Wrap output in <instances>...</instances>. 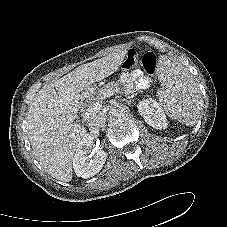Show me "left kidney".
Here are the masks:
<instances>
[{"instance_id":"5707ae66","label":"left kidney","mask_w":227,"mask_h":227,"mask_svg":"<svg viewBox=\"0 0 227 227\" xmlns=\"http://www.w3.org/2000/svg\"><path fill=\"white\" fill-rule=\"evenodd\" d=\"M140 115L155 129H166L167 119L158 102L153 99L142 100L137 105Z\"/></svg>"}]
</instances>
